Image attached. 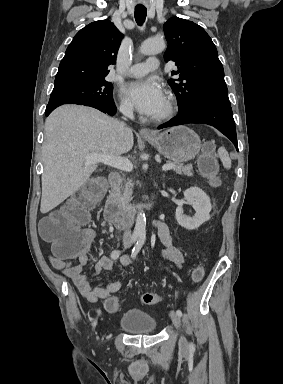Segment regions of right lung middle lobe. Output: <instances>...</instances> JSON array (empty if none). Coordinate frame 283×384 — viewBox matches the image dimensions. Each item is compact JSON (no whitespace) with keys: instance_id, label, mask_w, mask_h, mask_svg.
I'll return each instance as SVG.
<instances>
[{"instance_id":"obj_1","label":"right lung middle lobe","mask_w":283,"mask_h":384,"mask_svg":"<svg viewBox=\"0 0 283 384\" xmlns=\"http://www.w3.org/2000/svg\"><path fill=\"white\" fill-rule=\"evenodd\" d=\"M113 101V86L105 79L54 87L47 107L62 104L109 103Z\"/></svg>"}]
</instances>
